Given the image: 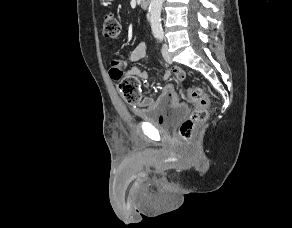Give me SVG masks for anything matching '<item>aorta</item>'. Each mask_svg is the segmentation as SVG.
<instances>
[{
    "label": "aorta",
    "mask_w": 292,
    "mask_h": 228,
    "mask_svg": "<svg viewBox=\"0 0 292 228\" xmlns=\"http://www.w3.org/2000/svg\"><path fill=\"white\" fill-rule=\"evenodd\" d=\"M164 0H151L149 6V15L151 29L153 33H159L162 31L161 27V10Z\"/></svg>",
    "instance_id": "762f6f07"
}]
</instances>
